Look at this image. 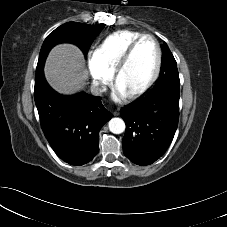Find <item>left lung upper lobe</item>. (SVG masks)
<instances>
[{
	"label": "left lung upper lobe",
	"instance_id": "5c2ea615",
	"mask_svg": "<svg viewBox=\"0 0 227 227\" xmlns=\"http://www.w3.org/2000/svg\"><path fill=\"white\" fill-rule=\"evenodd\" d=\"M162 61L159 78L151 91L168 89L179 92L180 80L177 63L167 44L162 45Z\"/></svg>",
	"mask_w": 227,
	"mask_h": 227
}]
</instances>
